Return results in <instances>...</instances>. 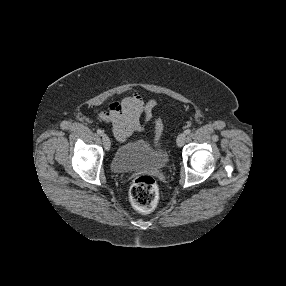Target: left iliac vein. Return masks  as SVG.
Listing matches in <instances>:
<instances>
[{
    "label": "left iliac vein",
    "mask_w": 286,
    "mask_h": 286,
    "mask_svg": "<svg viewBox=\"0 0 286 286\" xmlns=\"http://www.w3.org/2000/svg\"><path fill=\"white\" fill-rule=\"evenodd\" d=\"M185 140H186V134L185 133H181L178 135L177 137V146L178 147H182L185 143Z\"/></svg>",
    "instance_id": "4c4485c4"
}]
</instances>
